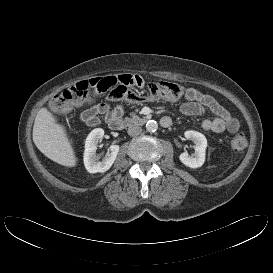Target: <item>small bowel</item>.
<instances>
[{"label": "small bowel", "mask_w": 273, "mask_h": 273, "mask_svg": "<svg viewBox=\"0 0 273 273\" xmlns=\"http://www.w3.org/2000/svg\"><path fill=\"white\" fill-rule=\"evenodd\" d=\"M137 78L138 82L136 85L143 88L144 81L139 76ZM137 97L139 100L132 103H139L143 100L140 94H137ZM123 109V105L111 108L105 103H100L83 111L81 120L89 126H95L99 124L100 116L108 118L110 115H119L123 113ZM180 112L188 116L203 115L206 112L214 114L215 117L213 119H205L201 123L202 128L206 131L221 133L227 130L230 133H235L239 129L238 120L226 108L219 104L215 98L196 88L186 90L184 102L180 105Z\"/></svg>", "instance_id": "small-bowel-1"}]
</instances>
